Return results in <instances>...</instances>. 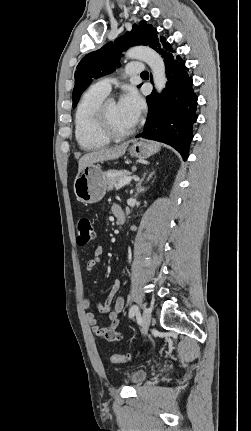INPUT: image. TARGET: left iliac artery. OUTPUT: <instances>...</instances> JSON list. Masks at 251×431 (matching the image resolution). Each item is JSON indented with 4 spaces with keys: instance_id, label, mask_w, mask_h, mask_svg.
<instances>
[{
    "instance_id": "left-iliac-artery-1",
    "label": "left iliac artery",
    "mask_w": 251,
    "mask_h": 431,
    "mask_svg": "<svg viewBox=\"0 0 251 431\" xmlns=\"http://www.w3.org/2000/svg\"><path fill=\"white\" fill-rule=\"evenodd\" d=\"M139 311V308L137 305H132L129 309V318H133Z\"/></svg>"
}]
</instances>
